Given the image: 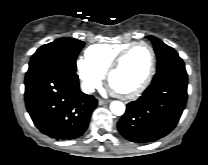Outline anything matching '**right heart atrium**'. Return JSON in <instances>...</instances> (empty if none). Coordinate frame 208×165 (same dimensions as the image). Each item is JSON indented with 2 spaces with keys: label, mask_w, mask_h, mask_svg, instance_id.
<instances>
[{
  "label": "right heart atrium",
  "mask_w": 208,
  "mask_h": 165,
  "mask_svg": "<svg viewBox=\"0 0 208 165\" xmlns=\"http://www.w3.org/2000/svg\"><path fill=\"white\" fill-rule=\"evenodd\" d=\"M76 69L81 87L86 92L93 91L103 78V75L85 57H79L76 60Z\"/></svg>",
  "instance_id": "1"
}]
</instances>
